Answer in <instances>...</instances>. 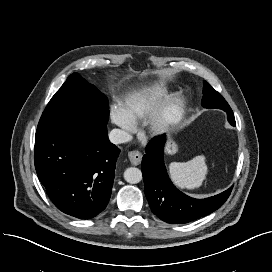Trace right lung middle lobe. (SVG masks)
<instances>
[{
    "label": "right lung middle lobe",
    "mask_w": 272,
    "mask_h": 272,
    "mask_svg": "<svg viewBox=\"0 0 272 272\" xmlns=\"http://www.w3.org/2000/svg\"><path fill=\"white\" fill-rule=\"evenodd\" d=\"M108 117L107 97L73 73L48 103L37 129L61 127L78 118L92 125H106Z\"/></svg>",
    "instance_id": "1"
}]
</instances>
